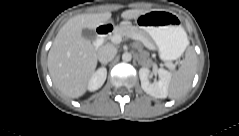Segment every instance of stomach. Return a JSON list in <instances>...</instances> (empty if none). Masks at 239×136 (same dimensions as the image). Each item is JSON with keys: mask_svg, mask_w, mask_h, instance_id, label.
Here are the masks:
<instances>
[{"mask_svg": "<svg viewBox=\"0 0 239 136\" xmlns=\"http://www.w3.org/2000/svg\"><path fill=\"white\" fill-rule=\"evenodd\" d=\"M138 28L157 46L162 60L178 59L187 47V35L175 14L160 10L136 18Z\"/></svg>", "mask_w": 239, "mask_h": 136, "instance_id": "obj_1", "label": "stomach"}]
</instances>
